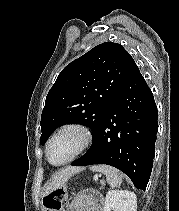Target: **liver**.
<instances>
[{"instance_id": "liver-1", "label": "liver", "mask_w": 179, "mask_h": 211, "mask_svg": "<svg viewBox=\"0 0 179 211\" xmlns=\"http://www.w3.org/2000/svg\"><path fill=\"white\" fill-rule=\"evenodd\" d=\"M81 170V167H67L56 172L52 177V180L48 183L44 195L62 187L72 175Z\"/></svg>"}]
</instances>
